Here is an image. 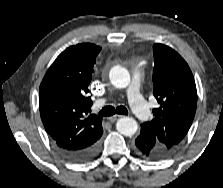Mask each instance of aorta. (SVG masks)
Returning a JSON list of instances; mask_svg holds the SVG:
<instances>
[{
	"label": "aorta",
	"mask_w": 223,
	"mask_h": 188,
	"mask_svg": "<svg viewBox=\"0 0 223 188\" xmlns=\"http://www.w3.org/2000/svg\"><path fill=\"white\" fill-rule=\"evenodd\" d=\"M111 83L117 88H126L130 84V74L122 66H114L109 73ZM116 129L125 136H132L138 130L137 121L131 117H122L116 123Z\"/></svg>",
	"instance_id": "obj_1"
}]
</instances>
